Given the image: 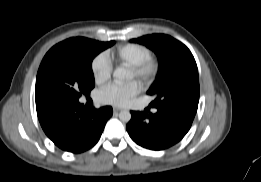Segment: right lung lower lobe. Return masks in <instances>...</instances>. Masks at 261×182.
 Segmentation results:
<instances>
[{"label":"right lung lower lobe","instance_id":"1","mask_svg":"<svg viewBox=\"0 0 261 182\" xmlns=\"http://www.w3.org/2000/svg\"><path fill=\"white\" fill-rule=\"evenodd\" d=\"M112 113L109 106L89 111L79 102L58 103L37 112L45 134L59 148L72 153L93 147Z\"/></svg>","mask_w":261,"mask_h":182}]
</instances>
